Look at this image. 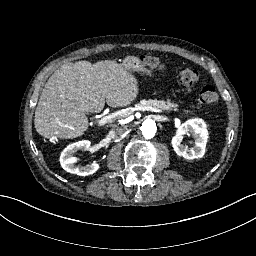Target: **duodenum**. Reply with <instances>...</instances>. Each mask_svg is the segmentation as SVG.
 I'll use <instances>...</instances> for the list:
<instances>
[{
    "instance_id": "obj_1",
    "label": "duodenum",
    "mask_w": 256,
    "mask_h": 256,
    "mask_svg": "<svg viewBox=\"0 0 256 256\" xmlns=\"http://www.w3.org/2000/svg\"><path fill=\"white\" fill-rule=\"evenodd\" d=\"M122 67L127 72L138 70L140 72L146 73L150 70L151 65L144 59L138 60L132 56H129L124 60Z\"/></svg>"
}]
</instances>
